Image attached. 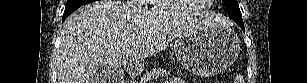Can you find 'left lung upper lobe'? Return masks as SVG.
<instances>
[{"mask_svg": "<svg viewBox=\"0 0 307 83\" xmlns=\"http://www.w3.org/2000/svg\"><path fill=\"white\" fill-rule=\"evenodd\" d=\"M222 2L224 3L229 18L234 20L237 24H243L242 15L237 0H222Z\"/></svg>", "mask_w": 307, "mask_h": 83, "instance_id": "5c2ea615", "label": "left lung upper lobe"}]
</instances>
